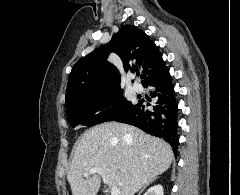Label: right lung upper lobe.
I'll use <instances>...</instances> for the list:
<instances>
[{
  "instance_id": "right-lung-upper-lobe-1",
  "label": "right lung upper lobe",
  "mask_w": 240,
  "mask_h": 195,
  "mask_svg": "<svg viewBox=\"0 0 240 195\" xmlns=\"http://www.w3.org/2000/svg\"><path fill=\"white\" fill-rule=\"evenodd\" d=\"M110 52L123 61L125 70H142V85L146 86L167 70L158 47L137 26L126 25L109 43L75 63L69 76L65 103L84 97H99L120 89V74L107 62Z\"/></svg>"
}]
</instances>
